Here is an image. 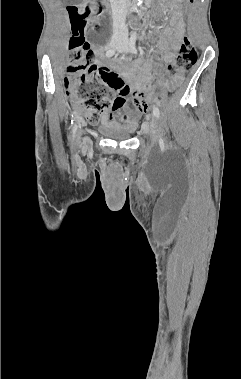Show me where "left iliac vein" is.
I'll return each mask as SVG.
<instances>
[{"mask_svg":"<svg viewBox=\"0 0 241 379\" xmlns=\"http://www.w3.org/2000/svg\"><path fill=\"white\" fill-rule=\"evenodd\" d=\"M118 51H128V43L126 40L119 46ZM144 131L148 133L154 139V141H158L159 133L154 118H152V120L149 123L144 124Z\"/></svg>","mask_w":241,"mask_h":379,"instance_id":"4c4485c4","label":"left iliac vein"}]
</instances>
